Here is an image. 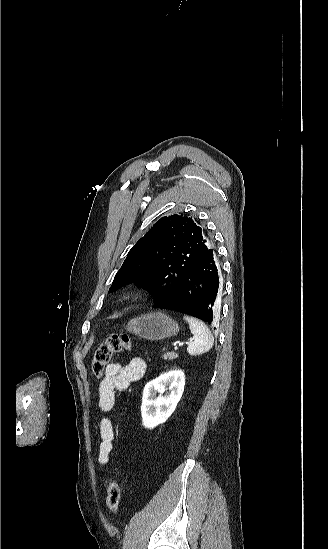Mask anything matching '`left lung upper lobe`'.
<instances>
[{"label":"left lung upper lobe","instance_id":"5c2ea615","mask_svg":"<svg viewBox=\"0 0 328 549\" xmlns=\"http://www.w3.org/2000/svg\"><path fill=\"white\" fill-rule=\"evenodd\" d=\"M207 249L201 227L191 218L162 217L130 249L109 291L134 281L154 300L163 299Z\"/></svg>","mask_w":328,"mask_h":549}]
</instances>
